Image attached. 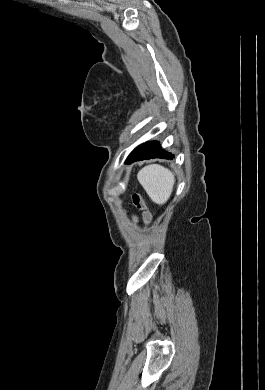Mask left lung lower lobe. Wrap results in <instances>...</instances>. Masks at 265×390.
I'll list each match as a JSON object with an SVG mask.
<instances>
[{
    "label": "left lung lower lobe",
    "instance_id": "left-lung-lower-lobe-1",
    "mask_svg": "<svg viewBox=\"0 0 265 390\" xmlns=\"http://www.w3.org/2000/svg\"><path fill=\"white\" fill-rule=\"evenodd\" d=\"M173 155L162 149L159 142H146L145 144L139 145L135 148L128 156L127 164L133 163L134 161H142L145 159L163 158L173 159Z\"/></svg>",
    "mask_w": 265,
    "mask_h": 390
}]
</instances>
